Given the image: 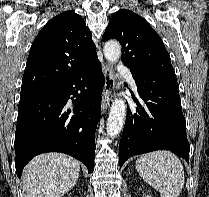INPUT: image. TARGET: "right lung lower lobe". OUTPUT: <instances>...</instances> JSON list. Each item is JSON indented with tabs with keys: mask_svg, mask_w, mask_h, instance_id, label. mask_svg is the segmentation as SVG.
<instances>
[{
	"mask_svg": "<svg viewBox=\"0 0 209 197\" xmlns=\"http://www.w3.org/2000/svg\"><path fill=\"white\" fill-rule=\"evenodd\" d=\"M104 82L97 59L62 83L20 96L14 143L19 177L34 156L46 152L73 156L93 172Z\"/></svg>",
	"mask_w": 209,
	"mask_h": 197,
	"instance_id": "obj_1",
	"label": "right lung lower lobe"
}]
</instances>
